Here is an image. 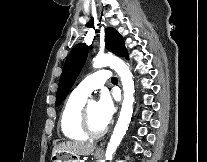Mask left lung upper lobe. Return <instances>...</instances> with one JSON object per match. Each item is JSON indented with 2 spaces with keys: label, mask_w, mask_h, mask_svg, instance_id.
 Instances as JSON below:
<instances>
[{
  "label": "left lung upper lobe",
  "mask_w": 207,
  "mask_h": 162,
  "mask_svg": "<svg viewBox=\"0 0 207 162\" xmlns=\"http://www.w3.org/2000/svg\"><path fill=\"white\" fill-rule=\"evenodd\" d=\"M105 44L106 47L118 56H125L128 59L126 48L122 36L112 27L105 29ZM88 53V47L84 43L77 44L68 55L63 72L60 78L56 106H59L67 96L70 88L75 82L83 64L85 63Z\"/></svg>",
  "instance_id": "obj_1"
}]
</instances>
